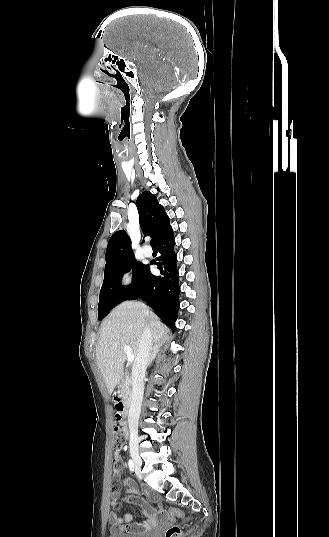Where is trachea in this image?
<instances>
[{
    "label": "trachea",
    "mask_w": 329,
    "mask_h": 537,
    "mask_svg": "<svg viewBox=\"0 0 329 537\" xmlns=\"http://www.w3.org/2000/svg\"><path fill=\"white\" fill-rule=\"evenodd\" d=\"M150 245H151V247H157L156 240H155V239H152V240L150 241Z\"/></svg>",
    "instance_id": "3493384b"
}]
</instances>
